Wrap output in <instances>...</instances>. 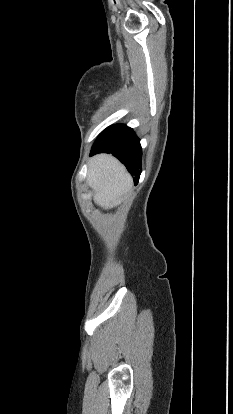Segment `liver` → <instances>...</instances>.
I'll return each mask as SVG.
<instances>
[{
	"label": "liver",
	"mask_w": 233,
	"mask_h": 414,
	"mask_svg": "<svg viewBox=\"0 0 233 414\" xmlns=\"http://www.w3.org/2000/svg\"><path fill=\"white\" fill-rule=\"evenodd\" d=\"M87 183L94 191V202L106 210L121 204L133 186L125 166L108 154H98L89 160Z\"/></svg>",
	"instance_id": "obj_1"
}]
</instances>
